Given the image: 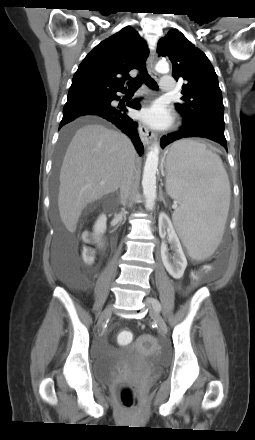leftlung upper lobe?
Returning <instances> with one entry per match:
<instances>
[{
	"label": "left lung upper lobe",
	"mask_w": 255,
	"mask_h": 440,
	"mask_svg": "<svg viewBox=\"0 0 255 440\" xmlns=\"http://www.w3.org/2000/svg\"><path fill=\"white\" fill-rule=\"evenodd\" d=\"M157 51L171 60L173 77L187 81L182 86V103H176L184 121H214L224 125L222 93L207 56L177 29L169 31L159 40Z\"/></svg>",
	"instance_id": "obj_1"
}]
</instances>
